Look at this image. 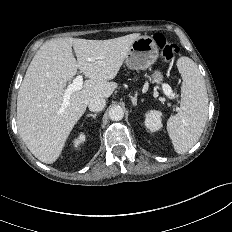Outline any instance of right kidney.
Here are the masks:
<instances>
[{
  "label": "right kidney",
  "mask_w": 232,
  "mask_h": 232,
  "mask_svg": "<svg viewBox=\"0 0 232 232\" xmlns=\"http://www.w3.org/2000/svg\"><path fill=\"white\" fill-rule=\"evenodd\" d=\"M85 142V135L83 133H81L78 138H76L74 141H73V145L74 147H78V145L82 144Z\"/></svg>",
  "instance_id": "1"
}]
</instances>
